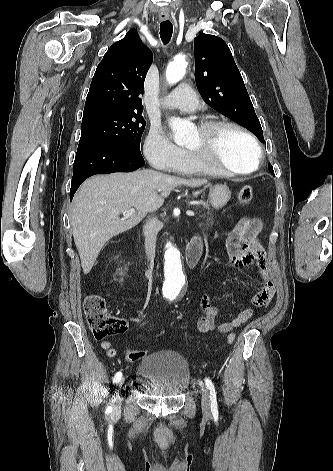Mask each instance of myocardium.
Segmentation results:
<instances>
[{"instance_id":"f54148a6","label":"myocardium","mask_w":333,"mask_h":471,"mask_svg":"<svg viewBox=\"0 0 333 471\" xmlns=\"http://www.w3.org/2000/svg\"><path fill=\"white\" fill-rule=\"evenodd\" d=\"M223 128L235 129L244 134L253 144L256 152L254 167L238 171L227 168L215 161L213 157V139L215 134ZM198 131L202 138L201 147L197 150L187 148L190 158L198 165L210 170L214 174L227 176H244L255 172L261 164L263 152L257 138L243 125L231 120H208L198 126Z\"/></svg>"}]
</instances>
